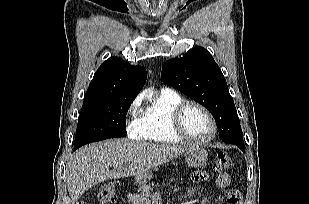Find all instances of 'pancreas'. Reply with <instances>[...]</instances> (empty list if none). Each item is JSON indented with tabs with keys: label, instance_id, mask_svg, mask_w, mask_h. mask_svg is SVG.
Returning <instances> with one entry per match:
<instances>
[{
	"label": "pancreas",
	"instance_id": "1",
	"mask_svg": "<svg viewBox=\"0 0 309 204\" xmlns=\"http://www.w3.org/2000/svg\"><path fill=\"white\" fill-rule=\"evenodd\" d=\"M154 185V183H152V186ZM153 188L151 187L150 184H145L142 186L141 188V193L138 194V195H135L134 196V199L136 201H139V202H142L143 204H150L149 203V196H150V191L152 190Z\"/></svg>",
	"mask_w": 309,
	"mask_h": 204
}]
</instances>
